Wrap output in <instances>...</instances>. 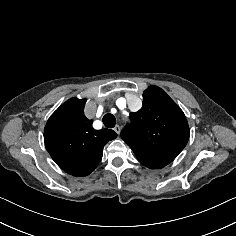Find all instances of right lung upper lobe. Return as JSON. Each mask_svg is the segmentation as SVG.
<instances>
[{
  "label": "right lung upper lobe",
  "mask_w": 236,
  "mask_h": 236,
  "mask_svg": "<svg viewBox=\"0 0 236 236\" xmlns=\"http://www.w3.org/2000/svg\"><path fill=\"white\" fill-rule=\"evenodd\" d=\"M86 99L72 98L49 118L44 130L47 151L56 164L73 176L89 175L99 164L106 143L117 137L113 130L92 128L84 115Z\"/></svg>",
  "instance_id": "right-lung-upper-lobe-1"
}]
</instances>
